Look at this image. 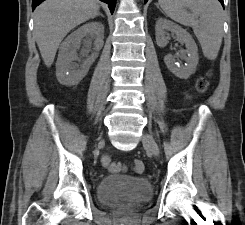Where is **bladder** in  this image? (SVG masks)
Wrapping results in <instances>:
<instances>
[{"mask_svg":"<svg viewBox=\"0 0 245 225\" xmlns=\"http://www.w3.org/2000/svg\"><path fill=\"white\" fill-rule=\"evenodd\" d=\"M152 197V183L146 177L127 173L105 176L99 181L95 191L98 205L105 208H113L125 203L148 202Z\"/></svg>","mask_w":245,"mask_h":225,"instance_id":"obj_1","label":"bladder"}]
</instances>
